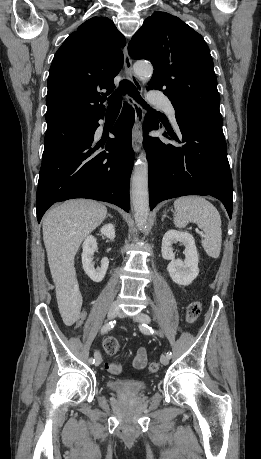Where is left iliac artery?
<instances>
[{
  "label": "left iliac artery",
  "instance_id": "44dca946",
  "mask_svg": "<svg viewBox=\"0 0 261 459\" xmlns=\"http://www.w3.org/2000/svg\"><path fill=\"white\" fill-rule=\"evenodd\" d=\"M141 332H143L144 334H158L157 331H154V329H152L150 326H148L147 324H142L139 326ZM161 335V333H159ZM166 355L170 358L172 353L171 352H167Z\"/></svg>",
  "mask_w": 261,
  "mask_h": 459
}]
</instances>
